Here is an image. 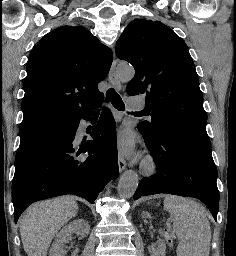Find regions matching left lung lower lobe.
I'll return each mask as SVG.
<instances>
[{
	"label": "left lung lower lobe",
	"instance_id": "left-lung-lower-lobe-1",
	"mask_svg": "<svg viewBox=\"0 0 236 256\" xmlns=\"http://www.w3.org/2000/svg\"><path fill=\"white\" fill-rule=\"evenodd\" d=\"M141 134L158 173L142 179L134 200L157 193L198 198L217 221L219 191L210 140L166 127L157 138Z\"/></svg>",
	"mask_w": 236,
	"mask_h": 256
}]
</instances>
